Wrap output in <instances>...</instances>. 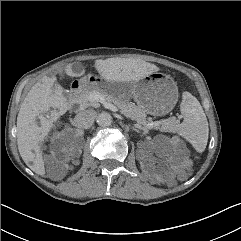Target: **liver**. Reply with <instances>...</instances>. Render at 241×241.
I'll return each instance as SVG.
<instances>
[{"label":"liver","instance_id":"1","mask_svg":"<svg viewBox=\"0 0 241 241\" xmlns=\"http://www.w3.org/2000/svg\"><path fill=\"white\" fill-rule=\"evenodd\" d=\"M95 68L103 79L118 82L135 81L158 71L154 64L121 58L98 60ZM65 71L69 76L78 75L73 73L71 64L67 65ZM55 80V77H45L42 83H36L26 95L17 116L19 153L29 168L39 175L45 174V168L43 158L38 153V144L52 128L54 119L65 112V96L60 86L55 87ZM50 108H53V117H44L43 113ZM37 119H40V125Z\"/></svg>","mask_w":241,"mask_h":241}]
</instances>
